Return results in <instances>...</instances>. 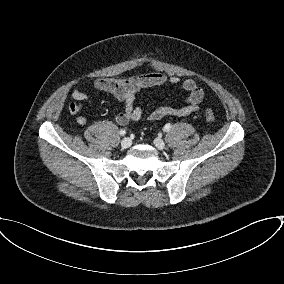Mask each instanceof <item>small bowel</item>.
<instances>
[{
  "label": "small bowel",
  "mask_w": 284,
  "mask_h": 284,
  "mask_svg": "<svg viewBox=\"0 0 284 284\" xmlns=\"http://www.w3.org/2000/svg\"><path fill=\"white\" fill-rule=\"evenodd\" d=\"M180 81L177 76L169 77L161 72H151L127 78H98L93 80L91 85L96 90L113 95L123 103V109L117 114L116 121L120 125H126L130 121L141 119L146 114L143 108L134 105L137 92L165 84H178ZM181 88L187 93L185 104L182 107L160 106L148 112L147 119L157 121L169 115L183 117L197 112L204 98L203 88L193 79L182 81ZM71 96L74 101L69 104L68 111L73 115L78 114L81 108L90 101L89 95L78 89L73 90ZM86 122L85 116L79 115L77 117L79 125H84Z\"/></svg>",
  "instance_id": "small-bowel-1"
}]
</instances>
